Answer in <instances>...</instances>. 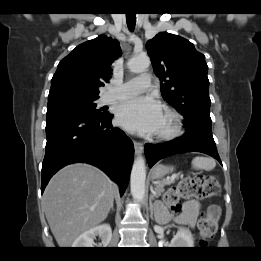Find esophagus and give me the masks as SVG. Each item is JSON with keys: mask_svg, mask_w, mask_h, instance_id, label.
<instances>
[{"mask_svg": "<svg viewBox=\"0 0 261 261\" xmlns=\"http://www.w3.org/2000/svg\"><path fill=\"white\" fill-rule=\"evenodd\" d=\"M134 149H135V154L140 155L144 151V146L140 142H134Z\"/></svg>", "mask_w": 261, "mask_h": 261, "instance_id": "1", "label": "esophagus"}]
</instances>
